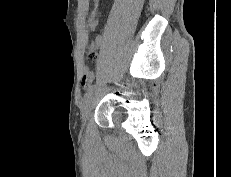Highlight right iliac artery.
<instances>
[{
	"instance_id": "82829eb1",
	"label": "right iliac artery",
	"mask_w": 231,
	"mask_h": 177,
	"mask_svg": "<svg viewBox=\"0 0 231 177\" xmlns=\"http://www.w3.org/2000/svg\"><path fill=\"white\" fill-rule=\"evenodd\" d=\"M93 89H94V85L89 86V88L87 89V92L85 94V97H87L88 95H90L92 93Z\"/></svg>"
}]
</instances>
